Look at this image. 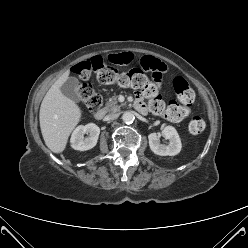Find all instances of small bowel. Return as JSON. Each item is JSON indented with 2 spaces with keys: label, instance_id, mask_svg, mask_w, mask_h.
<instances>
[{
  "label": "small bowel",
  "instance_id": "1",
  "mask_svg": "<svg viewBox=\"0 0 248 248\" xmlns=\"http://www.w3.org/2000/svg\"><path fill=\"white\" fill-rule=\"evenodd\" d=\"M108 62L114 63V64H128L133 60V56L129 52H121L117 54H113L107 57L106 59ZM141 66L146 70L153 71V75L156 78H160L161 74L166 71V66L164 63H162L160 60L154 58V57H145L141 60ZM136 102H138L142 106V111L145 112L146 108L142 101V98L140 95H138ZM178 121V120H177Z\"/></svg>",
  "mask_w": 248,
  "mask_h": 248
}]
</instances>
